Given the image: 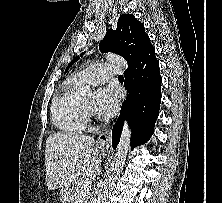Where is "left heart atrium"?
Listing matches in <instances>:
<instances>
[{"mask_svg": "<svg viewBox=\"0 0 222 203\" xmlns=\"http://www.w3.org/2000/svg\"><path fill=\"white\" fill-rule=\"evenodd\" d=\"M118 93L113 87L107 86L98 89L95 102L94 110L101 116H111L115 114L118 109Z\"/></svg>", "mask_w": 222, "mask_h": 203, "instance_id": "1", "label": "left heart atrium"}]
</instances>
